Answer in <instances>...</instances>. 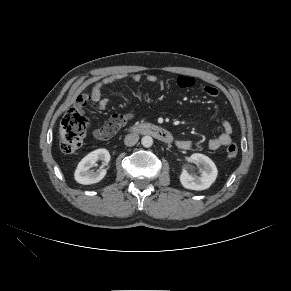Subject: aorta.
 <instances>
[{
    "label": "aorta",
    "mask_w": 291,
    "mask_h": 291,
    "mask_svg": "<svg viewBox=\"0 0 291 291\" xmlns=\"http://www.w3.org/2000/svg\"><path fill=\"white\" fill-rule=\"evenodd\" d=\"M141 144L144 147H151L153 145V139L151 136H143L141 139Z\"/></svg>",
    "instance_id": "1"
}]
</instances>
